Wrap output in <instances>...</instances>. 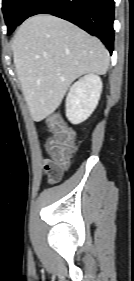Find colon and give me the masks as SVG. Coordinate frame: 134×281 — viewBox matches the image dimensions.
Instances as JSON below:
<instances>
[{"instance_id": "5ec220e1", "label": "colon", "mask_w": 134, "mask_h": 281, "mask_svg": "<svg viewBox=\"0 0 134 281\" xmlns=\"http://www.w3.org/2000/svg\"><path fill=\"white\" fill-rule=\"evenodd\" d=\"M48 125L52 136L47 141V151L51 158L66 170L75 150V134L58 115L50 116Z\"/></svg>"}]
</instances>
